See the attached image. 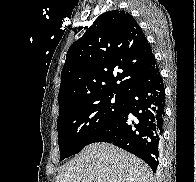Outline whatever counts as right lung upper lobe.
<instances>
[{
	"label": "right lung upper lobe",
	"instance_id": "obj_1",
	"mask_svg": "<svg viewBox=\"0 0 196 182\" xmlns=\"http://www.w3.org/2000/svg\"><path fill=\"white\" fill-rule=\"evenodd\" d=\"M155 62L133 16L118 10L103 13L67 52L61 72L59 113L100 96L125 97Z\"/></svg>",
	"mask_w": 196,
	"mask_h": 182
}]
</instances>
